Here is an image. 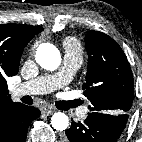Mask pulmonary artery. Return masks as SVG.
<instances>
[{"label":"pulmonary artery","mask_w":142,"mask_h":142,"mask_svg":"<svg viewBox=\"0 0 142 142\" xmlns=\"http://www.w3.org/2000/svg\"><path fill=\"white\" fill-rule=\"evenodd\" d=\"M81 63L82 59L78 54L67 52L64 56L63 65L57 73L17 84L12 89V96L20 97L23 95H39L53 92L73 78ZM86 114L87 109L85 107L79 111V116L82 118Z\"/></svg>","instance_id":"e3ab8cb5"}]
</instances>
